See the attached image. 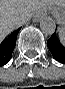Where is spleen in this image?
<instances>
[{"instance_id": "3e777b00", "label": "spleen", "mask_w": 65, "mask_h": 89, "mask_svg": "<svg viewBox=\"0 0 65 89\" xmlns=\"http://www.w3.org/2000/svg\"><path fill=\"white\" fill-rule=\"evenodd\" d=\"M58 36H59V40L61 41V43H65V31H64V28H60L59 29Z\"/></svg>"}]
</instances>
